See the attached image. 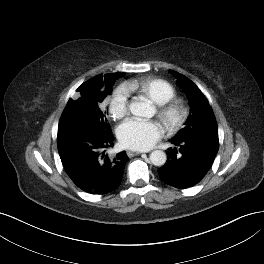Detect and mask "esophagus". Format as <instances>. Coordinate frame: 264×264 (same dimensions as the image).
<instances>
[{
	"label": "esophagus",
	"mask_w": 264,
	"mask_h": 264,
	"mask_svg": "<svg viewBox=\"0 0 264 264\" xmlns=\"http://www.w3.org/2000/svg\"><path fill=\"white\" fill-rule=\"evenodd\" d=\"M141 153L142 152H140V151H127V156L131 158V157L139 155Z\"/></svg>",
	"instance_id": "obj_1"
}]
</instances>
